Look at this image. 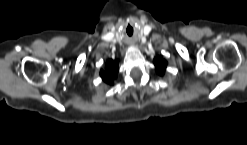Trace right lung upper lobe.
Wrapping results in <instances>:
<instances>
[{
	"label": "right lung upper lobe",
	"instance_id": "right-lung-upper-lobe-1",
	"mask_svg": "<svg viewBox=\"0 0 247 145\" xmlns=\"http://www.w3.org/2000/svg\"><path fill=\"white\" fill-rule=\"evenodd\" d=\"M118 61L109 60L106 63V69L101 70L100 75L106 83L112 84V79L117 76L118 73Z\"/></svg>",
	"mask_w": 247,
	"mask_h": 145
}]
</instances>
